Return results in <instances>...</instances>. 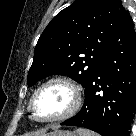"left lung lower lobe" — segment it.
I'll use <instances>...</instances> for the list:
<instances>
[{
	"label": "left lung lower lobe",
	"instance_id": "0a47b994",
	"mask_svg": "<svg viewBox=\"0 0 136 136\" xmlns=\"http://www.w3.org/2000/svg\"><path fill=\"white\" fill-rule=\"evenodd\" d=\"M136 110V40L129 13L109 43L85 87L81 111L61 125L102 136H129Z\"/></svg>",
	"mask_w": 136,
	"mask_h": 136
}]
</instances>
